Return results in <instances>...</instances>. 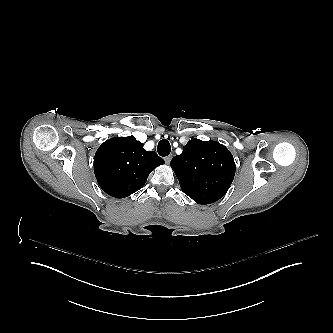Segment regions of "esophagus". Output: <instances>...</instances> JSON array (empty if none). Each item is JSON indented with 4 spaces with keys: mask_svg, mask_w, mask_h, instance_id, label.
I'll use <instances>...</instances> for the list:
<instances>
[{
    "mask_svg": "<svg viewBox=\"0 0 333 333\" xmlns=\"http://www.w3.org/2000/svg\"><path fill=\"white\" fill-rule=\"evenodd\" d=\"M172 155L165 157V162L168 164L171 161Z\"/></svg>",
    "mask_w": 333,
    "mask_h": 333,
    "instance_id": "34e87169",
    "label": "esophagus"
}]
</instances>
